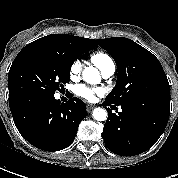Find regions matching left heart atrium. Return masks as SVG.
I'll list each match as a JSON object with an SVG mask.
<instances>
[{"instance_id": "39dd6f15", "label": "left heart atrium", "mask_w": 178, "mask_h": 178, "mask_svg": "<svg viewBox=\"0 0 178 178\" xmlns=\"http://www.w3.org/2000/svg\"><path fill=\"white\" fill-rule=\"evenodd\" d=\"M75 93L84 100L94 101L98 96L102 95L103 91L100 88H90L81 84L76 87Z\"/></svg>"}]
</instances>
